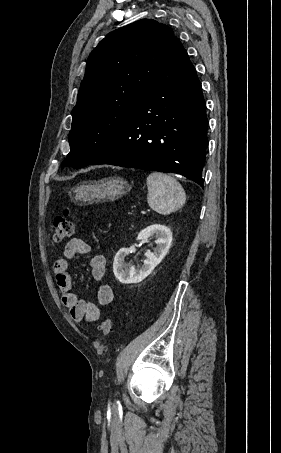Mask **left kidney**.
<instances>
[{"label": "left kidney", "mask_w": 281, "mask_h": 453, "mask_svg": "<svg viewBox=\"0 0 281 453\" xmlns=\"http://www.w3.org/2000/svg\"><path fill=\"white\" fill-rule=\"evenodd\" d=\"M149 237H155L157 247L153 249V253L151 251L144 253V257H147V259L143 261L140 269H135V267L124 269V259L129 255V249H120L116 253L113 263V273L120 283H125V285H129V283H141L161 263L165 255H167L172 243L170 229L164 227V224H150V227H146V229H143L139 233L137 241H144L146 243Z\"/></svg>", "instance_id": "5707ae66"}]
</instances>
